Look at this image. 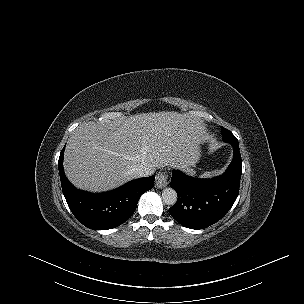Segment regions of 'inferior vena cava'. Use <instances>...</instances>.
I'll list each match as a JSON object with an SVG mask.
<instances>
[{
    "label": "inferior vena cava",
    "instance_id": "obj_1",
    "mask_svg": "<svg viewBox=\"0 0 304 304\" xmlns=\"http://www.w3.org/2000/svg\"><path fill=\"white\" fill-rule=\"evenodd\" d=\"M155 172L154 168L140 165L132 170V174L135 178L148 177Z\"/></svg>",
    "mask_w": 304,
    "mask_h": 304
}]
</instances>
